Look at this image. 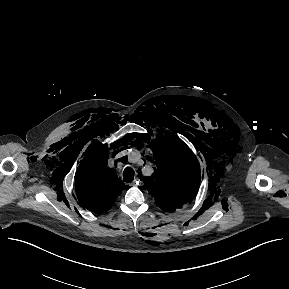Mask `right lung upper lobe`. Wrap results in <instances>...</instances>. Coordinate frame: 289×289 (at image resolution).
Wrapping results in <instances>:
<instances>
[{
	"label": "right lung upper lobe",
	"mask_w": 289,
	"mask_h": 289,
	"mask_svg": "<svg viewBox=\"0 0 289 289\" xmlns=\"http://www.w3.org/2000/svg\"><path fill=\"white\" fill-rule=\"evenodd\" d=\"M93 147L79 166L75 188L82 206L91 212L103 213L113 206L126 187L106 165L107 146Z\"/></svg>",
	"instance_id": "obj_1"
}]
</instances>
